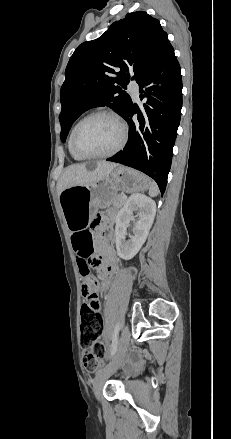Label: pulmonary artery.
Wrapping results in <instances>:
<instances>
[{"label":"pulmonary artery","mask_w":231,"mask_h":439,"mask_svg":"<svg viewBox=\"0 0 231 439\" xmlns=\"http://www.w3.org/2000/svg\"><path fill=\"white\" fill-rule=\"evenodd\" d=\"M128 88L134 97L138 96L139 85L136 81H130L128 84Z\"/></svg>","instance_id":"1"}]
</instances>
